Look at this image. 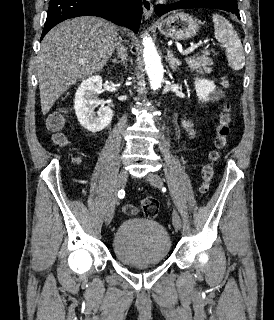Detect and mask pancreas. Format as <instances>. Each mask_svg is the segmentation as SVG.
<instances>
[{
    "mask_svg": "<svg viewBox=\"0 0 274 320\" xmlns=\"http://www.w3.org/2000/svg\"><path fill=\"white\" fill-rule=\"evenodd\" d=\"M208 56H210V52H201V56L200 54L190 56V58H185V62L191 70H196L199 74H209L212 72L210 66H213V62Z\"/></svg>",
    "mask_w": 274,
    "mask_h": 320,
    "instance_id": "cf45deb5",
    "label": "pancreas"
}]
</instances>
